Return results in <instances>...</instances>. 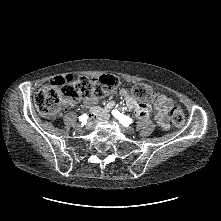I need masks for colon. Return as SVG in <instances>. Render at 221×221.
Masks as SVG:
<instances>
[{
  "mask_svg": "<svg viewBox=\"0 0 221 221\" xmlns=\"http://www.w3.org/2000/svg\"><path fill=\"white\" fill-rule=\"evenodd\" d=\"M118 85V78L112 75L93 79L80 77L71 84H48L43 86L36 94L35 106L42 116L52 118L56 116L61 108L68 102H77L82 98L92 96H106L112 93ZM131 92L138 100L152 102L156 99V95L151 87L143 83L135 84ZM169 112L173 124L176 127H182L185 122L183 111L173 103L169 106Z\"/></svg>",
  "mask_w": 221,
  "mask_h": 221,
  "instance_id": "1",
  "label": "colon"
}]
</instances>
